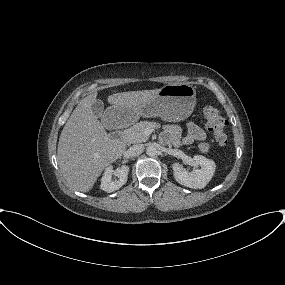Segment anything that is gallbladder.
Returning a JSON list of instances; mask_svg holds the SVG:
<instances>
[{"mask_svg":"<svg viewBox=\"0 0 285 285\" xmlns=\"http://www.w3.org/2000/svg\"><path fill=\"white\" fill-rule=\"evenodd\" d=\"M91 109L93 114L97 118H102L104 113V103L100 99H96V101L92 104Z\"/></svg>","mask_w":285,"mask_h":285,"instance_id":"obj_1","label":"gallbladder"}]
</instances>
